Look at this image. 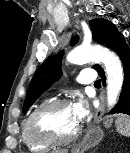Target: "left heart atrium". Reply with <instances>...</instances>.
Instances as JSON below:
<instances>
[{"label":"left heart atrium","instance_id":"39dd6f15","mask_svg":"<svg viewBox=\"0 0 130 153\" xmlns=\"http://www.w3.org/2000/svg\"><path fill=\"white\" fill-rule=\"evenodd\" d=\"M72 110L78 123L87 117L90 112L89 105L83 98L78 99L72 104Z\"/></svg>","mask_w":130,"mask_h":153}]
</instances>
